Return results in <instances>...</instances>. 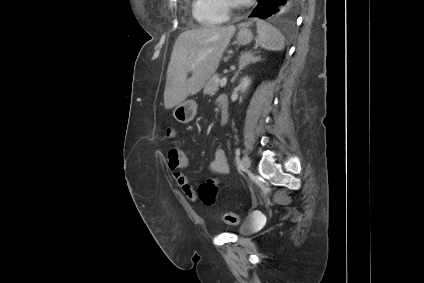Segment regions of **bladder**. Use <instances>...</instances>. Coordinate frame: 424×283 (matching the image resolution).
Masks as SVG:
<instances>
[{
    "instance_id": "31cf9c89",
    "label": "bladder",
    "mask_w": 424,
    "mask_h": 283,
    "mask_svg": "<svg viewBox=\"0 0 424 283\" xmlns=\"http://www.w3.org/2000/svg\"><path fill=\"white\" fill-rule=\"evenodd\" d=\"M259 223L254 216H248L241 224L238 233L242 236L250 235L259 229Z\"/></svg>"
}]
</instances>
